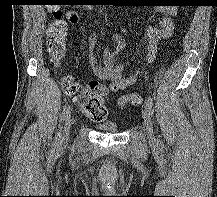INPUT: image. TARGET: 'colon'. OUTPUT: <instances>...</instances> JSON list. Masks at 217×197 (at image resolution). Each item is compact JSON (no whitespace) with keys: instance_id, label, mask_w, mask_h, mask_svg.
Here are the masks:
<instances>
[{"instance_id":"5ec220e1","label":"colon","mask_w":217,"mask_h":197,"mask_svg":"<svg viewBox=\"0 0 217 197\" xmlns=\"http://www.w3.org/2000/svg\"><path fill=\"white\" fill-rule=\"evenodd\" d=\"M48 11L54 20L48 27V53L54 63H59L65 55L67 48V23L62 19V13L58 0H50L47 5ZM66 94L73 96L74 103L80 111L90 120L102 122L108 115L104 102L107 88L104 84L89 80L84 89L80 92L79 85L71 78L66 77L63 81ZM143 102V97L138 93L121 96L118 100L120 106H138Z\"/></svg>"}]
</instances>
